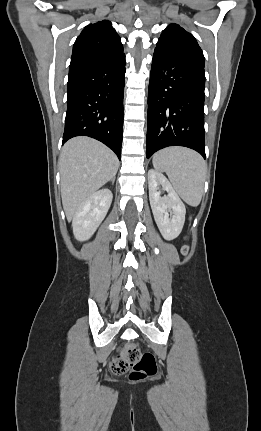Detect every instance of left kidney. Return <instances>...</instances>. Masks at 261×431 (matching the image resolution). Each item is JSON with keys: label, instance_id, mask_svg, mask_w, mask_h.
Segmentation results:
<instances>
[{"label": "left kidney", "instance_id": "5707ae66", "mask_svg": "<svg viewBox=\"0 0 261 431\" xmlns=\"http://www.w3.org/2000/svg\"><path fill=\"white\" fill-rule=\"evenodd\" d=\"M148 183L149 200L155 222L162 236L166 240H173L182 231L186 214L185 205L162 173L150 169ZM159 185L168 193L167 195L161 197V192L158 191Z\"/></svg>", "mask_w": 261, "mask_h": 431}]
</instances>
